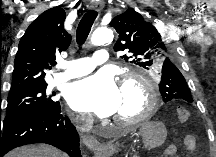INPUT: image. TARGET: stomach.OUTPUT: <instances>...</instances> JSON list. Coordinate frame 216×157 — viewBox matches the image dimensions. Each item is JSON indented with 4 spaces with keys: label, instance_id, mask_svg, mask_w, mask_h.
I'll use <instances>...</instances> for the list:
<instances>
[{
    "label": "stomach",
    "instance_id": "stomach-1",
    "mask_svg": "<svg viewBox=\"0 0 216 157\" xmlns=\"http://www.w3.org/2000/svg\"><path fill=\"white\" fill-rule=\"evenodd\" d=\"M137 135L142 137L144 146L148 149L160 147L167 136V130L163 123L152 121L142 124Z\"/></svg>",
    "mask_w": 216,
    "mask_h": 157
}]
</instances>
